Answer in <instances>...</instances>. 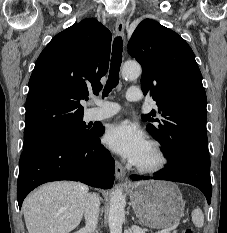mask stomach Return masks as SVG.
I'll return each mask as SVG.
<instances>
[{"label": "stomach", "instance_id": "obj_1", "mask_svg": "<svg viewBox=\"0 0 227 233\" xmlns=\"http://www.w3.org/2000/svg\"><path fill=\"white\" fill-rule=\"evenodd\" d=\"M129 195L136 216L147 227L168 228L178 223L184 215L182 194L173 183H135L129 188Z\"/></svg>", "mask_w": 227, "mask_h": 233}]
</instances>
